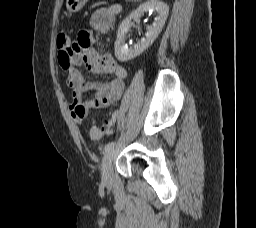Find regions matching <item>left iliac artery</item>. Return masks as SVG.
Instances as JSON below:
<instances>
[{"mask_svg": "<svg viewBox=\"0 0 256 228\" xmlns=\"http://www.w3.org/2000/svg\"><path fill=\"white\" fill-rule=\"evenodd\" d=\"M115 144H116V142H114V141L107 143L104 148L105 152L110 151L115 146Z\"/></svg>", "mask_w": 256, "mask_h": 228, "instance_id": "44dca946", "label": "left iliac artery"}]
</instances>
